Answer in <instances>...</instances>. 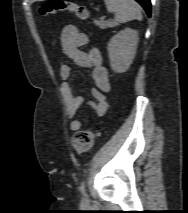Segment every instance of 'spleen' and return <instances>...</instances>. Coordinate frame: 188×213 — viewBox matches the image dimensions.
Returning <instances> with one entry per match:
<instances>
[{"mask_svg":"<svg viewBox=\"0 0 188 213\" xmlns=\"http://www.w3.org/2000/svg\"><path fill=\"white\" fill-rule=\"evenodd\" d=\"M107 10L115 13L118 22H127L134 19L142 20L140 5L134 0H104Z\"/></svg>","mask_w":188,"mask_h":213,"instance_id":"obj_1","label":"spleen"}]
</instances>
